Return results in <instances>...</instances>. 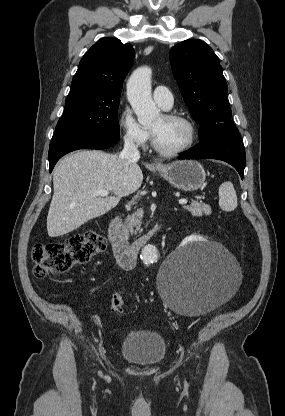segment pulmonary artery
Instances as JSON below:
<instances>
[{"mask_svg": "<svg viewBox=\"0 0 285 416\" xmlns=\"http://www.w3.org/2000/svg\"><path fill=\"white\" fill-rule=\"evenodd\" d=\"M154 98L164 109H170L175 95L172 93L171 87L158 86L154 90Z\"/></svg>", "mask_w": 285, "mask_h": 416, "instance_id": "1", "label": "pulmonary artery"}]
</instances>
